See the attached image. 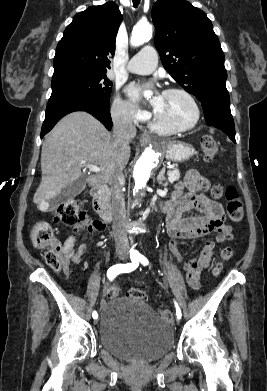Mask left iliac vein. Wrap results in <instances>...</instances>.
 <instances>
[{"instance_id": "obj_1", "label": "left iliac vein", "mask_w": 267, "mask_h": 391, "mask_svg": "<svg viewBox=\"0 0 267 391\" xmlns=\"http://www.w3.org/2000/svg\"><path fill=\"white\" fill-rule=\"evenodd\" d=\"M176 323H177V324L180 323V319H179V318H176Z\"/></svg>"}]
</instances>
